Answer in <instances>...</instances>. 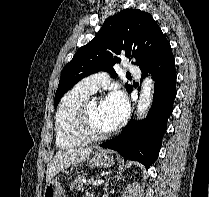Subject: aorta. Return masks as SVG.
Returning <instances> with one entry per match:
<instances>
[{
	"instance_id": "1",
	"label": "aorta",
	"mask_w": 209,
	"mask_h": 197,
	"mask_svg": "<svg viewBox=\"0 0 209 197\" xmlns=\"http://www.w3.org/2000/svg\"><path fill=\"white\" fill-rule=\"evenodd\" d=\"M154 82L150 76L143 80L140 97L137 104V116H142L148 111L152 103Z\"/></svg>"
}]
</instances>
